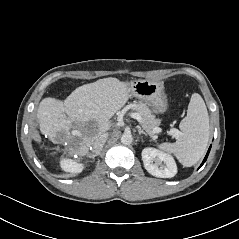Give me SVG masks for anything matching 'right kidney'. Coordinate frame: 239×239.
Returning <instances> with one entry per match:
<instances>
[{
    "label": "right kidney",
    "instance_id": "right-kidney-1",
    "mask_svg": "<svg viewBox=\"0 0 239 239\" xmlns=\"http://www.w3.org/2000/svg\"><path fill=\"white\" fill-rule=\"evenodd\" d=\"M61 168L70 173H80L84 169V165L81 163H78L71 159H63L60 162Z\"/></svg>",
    "mask_w": 239,
    "mask_h": 239
}]
</instances>
